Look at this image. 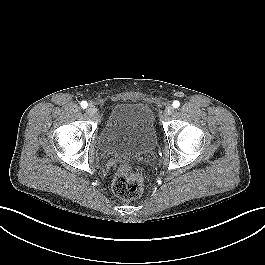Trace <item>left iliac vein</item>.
<instances>
[{
  "label": "left iliac vein",
  "mask_w": 265,
  "mask_h": 265,
  "mask_svg": "<svg viewBox=\"0 0 265 265\" xmlns=\"http://www.w3.org/2000/svg\"><path fill=\"white\" fill-rule=\"evenodd\" d=\"M174 109L171 105H167L166 108H165V115L166 116H169L173 113Z\"/></svg>",
  "instance_id": "obj_1"
}]
</instances>
